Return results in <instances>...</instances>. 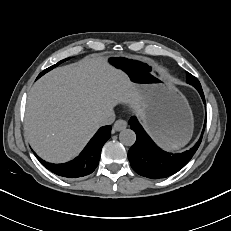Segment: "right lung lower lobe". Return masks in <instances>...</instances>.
Masks as SVG:
<instances>
[{"label":"right lung lower lobe","instance_id":"1","mask_svg":"<svg viewBox=\"0 0 231 231\" xmlns=\"http://www.w3.org/2000/svg\"><path fill=\"white\" fill-rule=\"evenodd\" d=\"M111 136V126L101 127L89 141L85 149L74 160L64 164H51L36 157L49 171L66 178H78L89 175L98 165L101 148Z\"/></svg>","mask_w":231,"mask_h":231}]
</instances>
